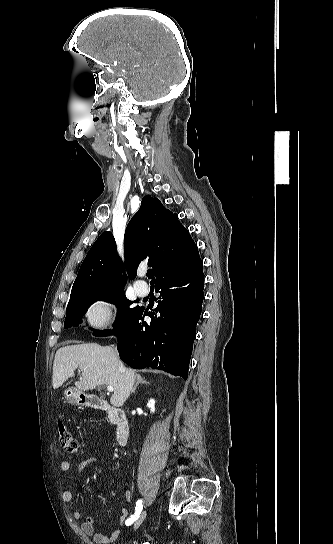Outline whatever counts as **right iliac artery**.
<instances>
[{
    "label": "right iliac artery",
    "mask_w": 333,
    "mask_h": 544,
    "mask_svg": "<svg viewBox=\"0 0 333 544\" xmlns=\"http://www.w3.org/2000/svg\"><path fill=\"white\" fill-rule=\"evenodd\" d=\"M142 509H143V500L140 499L136 502L135 513L126 522L127 526H130L139 517Z\"/></svg>",
    "instance_id": "right-iliac-artery-1"
}]
</instances>
